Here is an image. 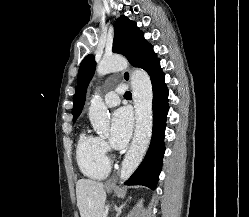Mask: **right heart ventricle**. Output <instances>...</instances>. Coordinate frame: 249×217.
<instances>
[{"instance_id": "e07e8e85", "label": "right heart ventricle", "mask_w": 249, "mask_h": 217, "mask_svg": "<svg viewBox=\"0 0 249 217\" xmlns=\"http://www.w3.org/2000/svg\"><path fill=\"white\" fill-rule=\"evenodd\" d=\"M76 160L81 172L91 179H103L110 171V163L101 149L100 139L86 131L79 136Z\"/></svg>"}]
</instances>
